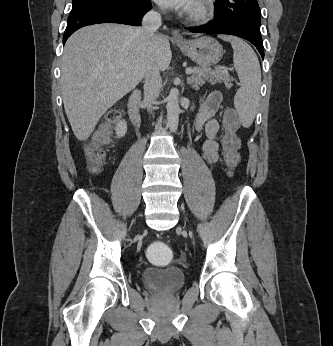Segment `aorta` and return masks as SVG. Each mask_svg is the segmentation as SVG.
I'll list each match as a JSON object with an SVG mask.
<instances>
[{"label": "aorta", "mask_w": 333, "mask_h": 346, "mask_svg": "<svg viewBox=\"0 0 333 346\" xmlns=\"http://www.w3.org/2000/svg\"><path fill=\"white\" fill-rule=\"evenodd\" d=\"M178 90L172 89L167 99V126L171 132H175L179 123Z\"/></svg>", "instance_id": "obj_1"}]
</instances>
